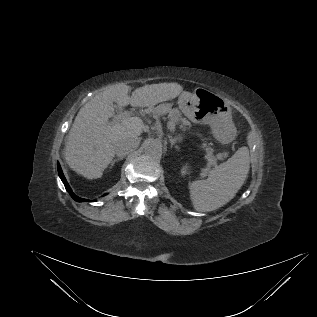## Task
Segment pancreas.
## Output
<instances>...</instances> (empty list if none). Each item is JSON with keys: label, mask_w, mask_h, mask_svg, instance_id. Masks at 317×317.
<instances>
[{"label": "pancreas", "mask_w": 317, "mask_h": 317, "mask_svg": "<svg viewBox=\"0 0 317 317\" xmlns=\"http://www.w3.org/2000/svg\"><path fill=\"white\" fill-rule=\"evenodd\" d=\"M147 113L152 114L153 117L158 118L161 115L168 114V118L170 121H173L175 123H181V127L186 130L191 127V123L184 117H182L181 112L177 108H172V105L170 103H163L158 105L156 108H149L146 110ZM203 148H205L206 151V159L208 161L207 165L208 167L214 166L217 164V160L222 159V155L217 154L214 155L213 148L207 146L206 143H203Z\"/></svg>", "instance_id": "pancreas-1"}]
</instances>
